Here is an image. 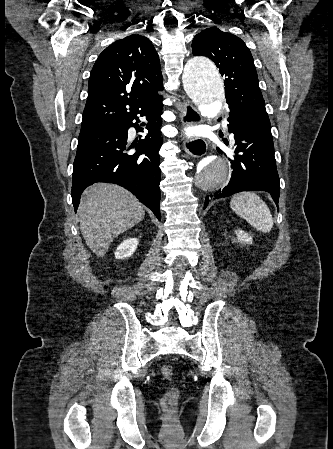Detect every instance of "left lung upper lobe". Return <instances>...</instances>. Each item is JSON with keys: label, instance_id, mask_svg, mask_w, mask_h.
<instances>
[{"label": "left lung upper lobe", "instance_id": "obj_1", "mask_svg": "<svg viewBox=\"0 0 333 449\" xmlns=\"http://www.w3.org/2000/svg\"><path fill=\"white\" fill-rule=\"evenodd\" d=\"M192 48L195 56H206L219 68L224 78L225 96L230 110L271 126L254 60L242 39L211 27L194 37Z\"/></svg>", "mask_w": 333, "mask_h": 449}]
</instances>
